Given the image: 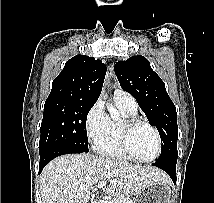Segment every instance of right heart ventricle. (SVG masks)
Listing matches in <instances>:
<instances>
[{
  "label": "right heart ventricle",
  "instance_id": "obj_1",
  "mask_svg": "<svg viewBox=\"0 0 214 203\" xmlns=\"http://www.w3.org/2000/svg\"><path fill=\"white\" fill-rule=\"evenodd\" d=\"M115 102L128 117H136L137 109L128 107L126 104L116 98ZM120 130L121 122L111 120L109 132L103 139L95 144L97 152L108 158L126 160L127 157L122 151L120 144Z\"/></svg>",
  "mask_w": 214,
  "mask_h": 203
}]
</instances>
